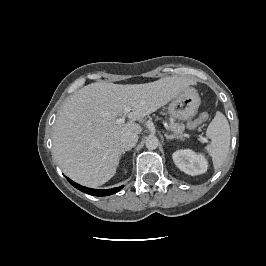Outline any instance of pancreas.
<instances>
[{
	"label": "pancreas",
	"mask_w": 266,
	"mask_h": 266,
	"mask_svg": "<svg viewBox=\"0 0 266 266\" xmlns=\"http://www.w3.org/2000/svg\"><path fill=\"white\" fill-rule=\"evenodd\" d=\"M170 129L171 131H173L175 134H181L184 129H185V126L181 123H175L174 122V119H170Z\"/></svg>",
	"instance_id": "cf45deb5"
}]
</instances>
